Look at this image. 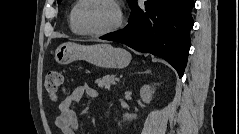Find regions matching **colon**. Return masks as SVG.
I'll return each mask as SVG.
<instances>
[{
    "instance_id": "1",
    "label": "colon",
    "mask_w": 239,
    "mask_h": 134,
    "mask_svg": "<svg viewBox=\"0 0 239 134\" xmlns=\"http://www.w3.org/2000/svg\"><path fill=\"white\" fill-rule=\"evenodd\" d=\"M45 90L48 95L56 100L63 90V76L58 71H51L45 79Z\"/></svg>"
}]
</instances>
